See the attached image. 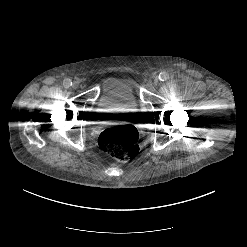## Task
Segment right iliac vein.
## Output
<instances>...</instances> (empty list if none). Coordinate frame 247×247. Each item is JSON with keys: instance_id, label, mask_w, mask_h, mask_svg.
I'll use <instances>...</instances> for the list:
<instances>
[{"instance_id": "63e3f726", "label": "right iliac vein", "mask_w": 247, "mask_h": 247, "mask_svg": "<svg viewBox=\"0 0 247 247\" xmlns=\"http://www.w3.org/2000/svg\"><path fill=\"white\" fill-rule=\"evenodd\" d=\"M79 86H80L79 82H74L73 85H72V87H73L74 89H78Z\"/></svg>"}]
</instances>
